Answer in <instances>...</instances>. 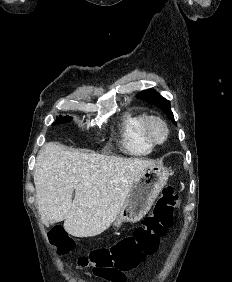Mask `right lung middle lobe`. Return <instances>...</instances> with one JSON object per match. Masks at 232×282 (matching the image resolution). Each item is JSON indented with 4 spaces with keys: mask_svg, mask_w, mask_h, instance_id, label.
<instances>
[{
    "mask_svg": "<svg viewBox=\"0 0 232 282\" xmlns=\"http://www.w3.org/2000/svg\"><path fill=\"white\" fill-rule=\"evenodd\" d=\"M71 120H72L71 117H62L60 119H57L52 125H56V124H59V123H66V122H69Z\"/></svg>",
    "mask_w": 232,
    "mask_h": 282,
    "instance_id": "obj_1",
    "label": "right lung middle lobe"
}]
</instances>
